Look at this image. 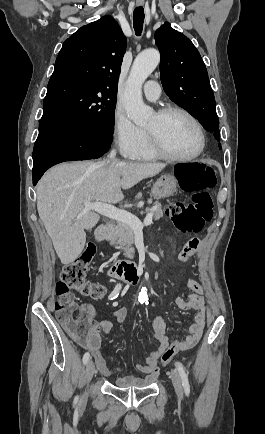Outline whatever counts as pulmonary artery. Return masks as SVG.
I'll return each instance as SVG.
<instances>
[{"instance_id":"obj_1","label":"pulmonary artery","mask_w":265,"mask_h":434,"mask_svg":"<svg viewBox=\"0 0 265 434\" xmlns=\"http://www.w3.org/2000/svg\"><path fill=\"white\" fill-rule=\"evenodd\" d=\"M160 84L158 81L156 80H148L145 84V94L150 98V99H156L160 93Z\"/></svg>"}]
</instances>
